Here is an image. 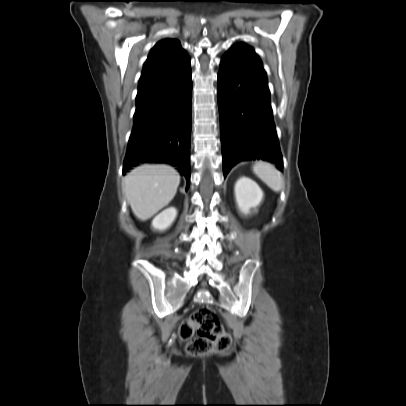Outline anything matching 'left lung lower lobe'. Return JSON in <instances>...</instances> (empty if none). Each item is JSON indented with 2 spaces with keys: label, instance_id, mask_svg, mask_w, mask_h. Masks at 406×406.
I'll return each mask as SVG.
<instances>
[{
  "label": "left lung lower lobe",
  "instance_id": "left-lung-lower-lobe-1",
  "mask_svg": "<svg viewBox=\"0 0 406 406\" xmlns=\"http://www.w3.org/2000/svg\"><path fill=\"white\" fill-rule=\"evenodd\" d=\"M218 106L224 177L240 161L266 160L282 171L283 161L266 73L259 59L229 50L218 73Z\"/></svg>",
  "mask_w": 406,
  "mask_h": 406
}]
</instances>
